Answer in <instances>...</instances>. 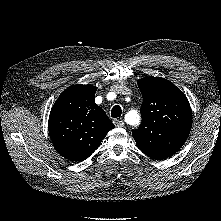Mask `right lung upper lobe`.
Listing matches in <instances>:
<instances>
[{"label":"right lung upper lobe","instance_id":"cb5924a9","mask_svg":"<svg viewBox=\"0 0 221 221\" xmlns=\"http://www.w3.org/2000/svg\"><path fill=\"white\" fill-rule=\"evenodd\" d=\"M97 87L73 85L53 105L48 130L57 152L71 161L87 159L114 124L95 104Z\"/></svg>","mask_w":221,"mask_h":221}]
</instances>
